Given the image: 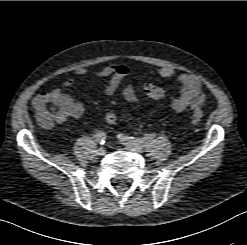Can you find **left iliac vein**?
Listing matches in <instances>:
<instances>
[{
	"instance_id": "obj_1",
	"label": "left iliac vein",
	"mask_w": 247,
	"mask_h": 245,
	"mask_svg": "<svg viewBox=\"0 0 247 245\" xmlns=\"http://www.w3.org/2000/svg\"><path fill=\"white\" fill-rule=\"evenodd\" d=\"M124 145L126 147V149L128 151H131V152H135V153H143V147L140 146V145H134V144H130V143H125L124 142Z\"/></svg>"
}]
</instances>
